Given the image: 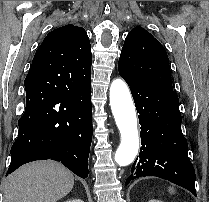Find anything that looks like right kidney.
Masks as SVG:
<instances>
[{
	"instance_id": "1",
	"label": "right kidney",
	"mask_w": 209,
	"mask_h": 202,
	"mask_svg": "<svg viewBox=\"0 0 209 202\" xmlns=\"http://www.w3.org/2000/svg\"><path fill=\"white\" fill-rule=\"evenodd\" d=\"M66 202H84V201L81 200V199H72V200H69V201H66Z\"/></svg>"
}]
</instances>
